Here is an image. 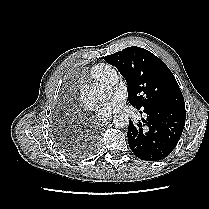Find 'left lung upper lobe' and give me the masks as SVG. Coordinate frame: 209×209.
Wrapping results in <instances>:
<instances>
[{"label":"left lung upper lobe","instance_id":"1","mask_svg":"<svg viewBox=\"0 0 209 209\" xmlns=\"http://www.w3.org/2000/svg\"><path fill=\"white\" fill-rule=\"evenodd\" d=\"M126 79L128 99L136 109L167 106L185 110L177 81L165 63L150 51L128 47L104 57Z\"/></svg>","mask_w":209,"mask_h":209}]
</instances>
